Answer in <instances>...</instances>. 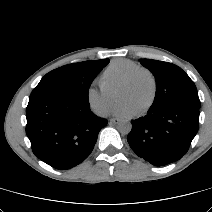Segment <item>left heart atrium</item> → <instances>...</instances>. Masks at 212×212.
<instances>
[{"instance_id":"obj_1","label":"left heart atrium","mask_w":212,"mask_h":212,"mask_svg":"<svg viewBox=\"0 0 212 212\" xmlns=\"http://www.w3.org/2000/svg\"><path fill=\"white\" fill-rule=\"evenodd\" d=\"M113 113L117 116L126 118L132 116L135 113V111L132 109L130 105H128L125 102H122L115 106V108L113 109Z\"/></svg>"}]
</instances>
